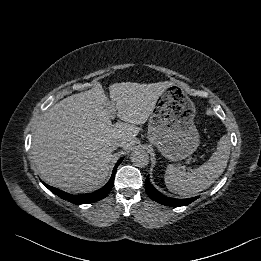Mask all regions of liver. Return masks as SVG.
Segmentation results:
<instances>
[{"label":"liver","mask_w":261,"mask_h":261,"mask_svg":"<svg viewBox=\"0 0 261 261\" xmlns=\"http://www.w3.org/2000/svg\"><path fill=\"white\" fill-rule=\"evenodd\" d=\"M170 82L110 85L107 101L100 83L64 98L42 116L34 132L31 154L42 179L59 189L79 194L97 190L110 168L114 141L130 149L138 125L150 116ZM123 122L112 124L110 109Z\"/></svg>","instance_id":"1"}]
</instances>
